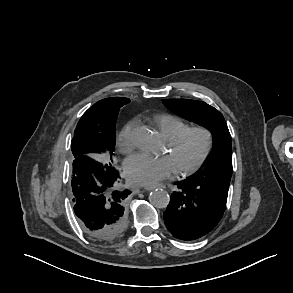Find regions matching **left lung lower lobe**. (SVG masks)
Listing matches in <instances>:
<instances>
[{
	"instance_id": "left-lung-lower-lobe-1",
	"label": "left lung lower lobe",
	"mask_w": 293,
	"mask_h": 293,
	"mask_svg": "<svg viewBox=\"0 0 293 293\" xmlns=\"http://www.w3.org/2000/svg\"><path fill=\"white\" fill-rule=\"evenodd\" d=\"M170 196L164 222L174 237L189 241L210 232L221 220L227 202L229 183H205L187 179L177 184Z\"/></svg>"
}]
</instances>
